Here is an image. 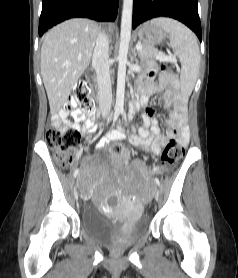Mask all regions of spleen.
<instances>
[{
  "mask_svg": "<svg viewBox=\"0 0 238 278\" xmlns=\"http://www.w3.org/2000/svg\"><path fill=\"white\" fill-rule=\"evenodd\" d=\"M151 22L162 27L170 37V45L181 63L180 82L184 94L190 95L197 81L200 53L195 34L182 23L170 18Z\"/></svg>",
  "mask_w": 238,
  "mask_h": 278,
  "instance_id": "3e777b00",
  "label": "spleen"
}]
</instances>
